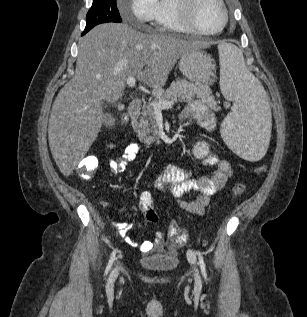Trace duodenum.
<instances>
[{
    "mask_svg": "<svg viewBox=\"0 0 307 317\" xmlns=\"http://www.w3.org/2000/svg\"><path fill=\"white\" fill-rule=\"evenodd\" d=\"M141 109H142V102L140 100L132 101L128 108L129 118L132 120L136 118L138 114L140 113ZM164 138L165 136L162 134V135H159L156 139L163 140Z\"/></svg>",
    "mask_w": 307,
    "mask_h": 317,
    "instance_id": "410a0bca",
    "label": "duodenum"
}]
</instances>
